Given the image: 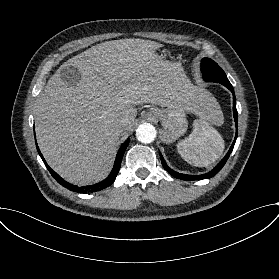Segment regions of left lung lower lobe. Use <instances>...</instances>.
Masks as SVG:
<instances>
[{
  "label": "left lung lower lobe",
  "instance_id": "left-lung-lower-lobe-1",
  "mask_svg": "<svg viewBox=\"0 0 279 279\" xmlns=\"http://www.w3.org/2000/svg\"><path fill=\"white\" fill-rule=\"evenodd\" d=\"M227 88L233 93V112H234V119H235V125H236L235 139H234L229 151L227 152L225 157L219 162V164L213 170H211L208 173L202 174V175H187V174H182V173H178V172L173 171L171 168H169L167 166V164L165 163L161 153H159L164 169L167 170V172L169 174H171L173 177L178 178V179H182V180H186V181L208 179V178L213 177L215 174H217L222 169V167L225 165L226 161L228 160V158H229V156H230V154L233 150V147H234L237 135H238V114H237V110H236L235 93H234V89H233L232 85L227 86Z\"/></svg>",
  "mask_w": 279,
  "mask_h": 279
}]
</instances>
